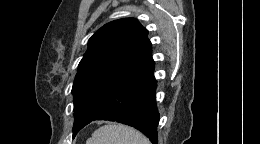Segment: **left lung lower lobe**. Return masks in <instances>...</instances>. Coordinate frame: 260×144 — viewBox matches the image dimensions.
Listing matches in <instances>:
<instances>
[{"instance_id": "1", "label": "left lung lower lobe", "mask_w": 260, "mask_h": 144, "mask_svg": "<svg viewBox=\"0 0 260 144\" xmlns=\"http://www.w3.org/2000/svg\"><path fill=\"white\" fill-rule=\"evenodd\" d=\"M154 62L134 73L114 93L94 120L117 121L132 126L158 144L159 112L156 106Z\"/></svg>"}]
</instances>
